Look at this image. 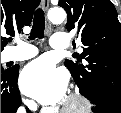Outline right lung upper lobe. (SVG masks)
<instances>
[{"mask_svg": "<svg viewBox=\"0 0 121 113\" xmlns=\"http://www.w3.org/2000/svg\"><path fill=\"white\" fill-rule=\"evenodd\" d=\"M40 0H1V32L14 35L22 34L23 27L31 23L33 11ZM7 44L1 37V51Z\"/></svg>", "mask_w": 121, "mask_h": 113, "instance_id": "1", "label": "right lung upper lobe"}]
</instances>
